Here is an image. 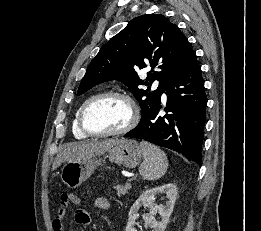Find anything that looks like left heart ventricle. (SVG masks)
Segmentation results:
<instances>
[{
  "mask_svg": "<svg viewBox=\"0 0 261 231\" xmlns=\"http://www.w3.org/2000/svg\"><path fill=\"white\" fill-rule=\"evenodd\" d=\"M131 109L124 99L111 97L92 106L86 114L88 127L95 132L117 131L129 123Z\"/></svg>",
  "mask_w": 261,
  "mask_h": 231,
  "instance_id": "1",
  "label": "left heart ventricle"
}]
</instances>
